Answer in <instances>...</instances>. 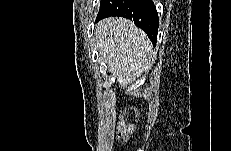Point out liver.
<instances>
[{
    "mask_svg": "<svg viewBox=\"0 0 231 151\" xmlns=\"http://www.w3.org/2000/svg\"><path fill=\"white\" fill-rule=\"evenodd\" d=\"M94 40L120 88H127L151 68L152 44L147 35L128 19H103L96 25Z\"/></svg>",
    "mask_w": 231,
    "mask_h": 151,
    "instance_id": "obj_1",
    "label": "liver"
}]
</instances>
